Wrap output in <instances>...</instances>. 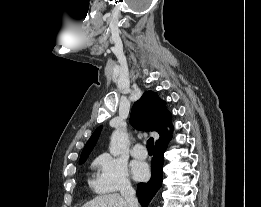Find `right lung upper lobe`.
<instances>
[{"mask_svg": "<svg viewBox=\"0 0 261 207\" xmlns=\"http://www.w3.org/2000/svg\"><path fill=\"white\" fill-rule=\"evenodd\" d=\"M131 125L138 130L156 131L160 137L156 141L165 143L170 140L171 133L166 127L173 130L171 113L166 108V102L161 100L155 92L147 91L136 101L131 111ZM102 127H98L86 143L80 159L88 157L95 146Z\"/></svg>", "mask_w": 261, "mask_h": 207, "instance_id": "cb5924a9", "label": "right lung upper lobe"}]
</instances>
